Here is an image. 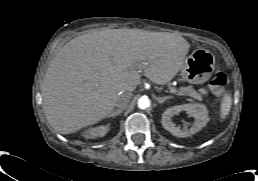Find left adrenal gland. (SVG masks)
Here are the masks:
<instances>
[{
  "instance_id": "left-adrenal-gland-1",
  "label": "left adrenal gland",
  "mask_w": 258,
  "mask_h": 181,
  "mask_svg": "<svg viewBox=\"0 0 258 181\" xmlns=\"http://www.w3.org/2000/svg\"><path fill=\"white\" fill-rule=\"evenodd\" d=\"M172 98L171 96H165V97H156V100L158 103L163 104L166 100Z\"/></svg>"
}]
</instances>
